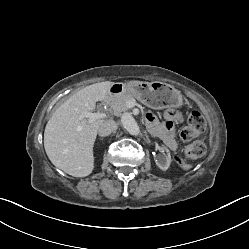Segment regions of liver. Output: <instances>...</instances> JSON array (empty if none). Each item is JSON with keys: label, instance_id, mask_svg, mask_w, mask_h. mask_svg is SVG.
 <instances>
[{"label": "liver", "instance_id": "6515ba94", "mask_svg": "<svg viewBox=\"0 0 249 249\" xmlns=\"http://www.w3.org/2000/svg\"><path fill=\"white\" fill-rule=\"evenodd\" d=\"M114 82L89 85L68 98L45 127L44 148L53 165L74 177H86L94 168L93 146L102 119L89 122L81 117L97 101L108 98Z\"/></svg>", "mask_w": 249, "mask_h": 249}]
</instances>
